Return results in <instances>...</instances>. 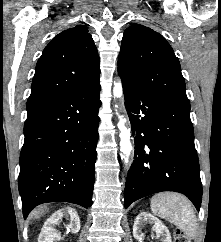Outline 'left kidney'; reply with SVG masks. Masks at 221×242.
I'll return each mask as SVG.
<instances>
[{"instance_id":"obj_1","label":"left kidney","mask_w":221,"mask_h":242,"mask_svg":"<svg viewBox=\"0 0 221 242\" xmlns=\"http://www.w3.org/2000/svg\"><path fill=\"white\" fill-rule=\"evenodd\" d=\"M145 223L153 224L152 230L158 237H161L162 242H172L171 235L167 227L154 215L148 212H141L137 215L133 225V236L140 240L143 238L144 233L142 228Z\"/></svg>"}]
</instances>
